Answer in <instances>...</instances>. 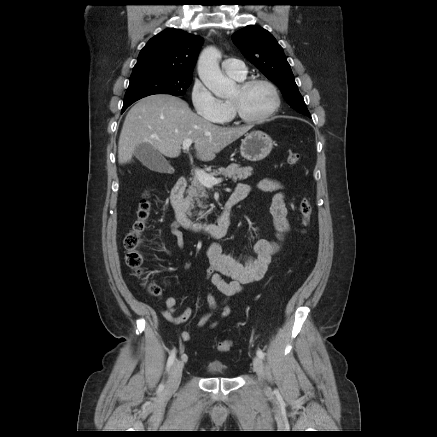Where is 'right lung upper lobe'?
Segmentation results:
<instances>
[{
	"instance_id": "obj_1",
	"label": "right lung upper lobe",
	"mask_w": 437,
	"mask_h": 437,
	"mask_svg": "<svg viewBox=\"0 0 437 437\" xmlns=\"http://www.w3.org/2000/svg\"><path fill=\"white\" fill-rule=\"evenodd\" d=\"M201 44L200 36L174 28L164 30L141 50L133 72L153 69L171 75H192Z\"/></svg>"
}]
</instances>
